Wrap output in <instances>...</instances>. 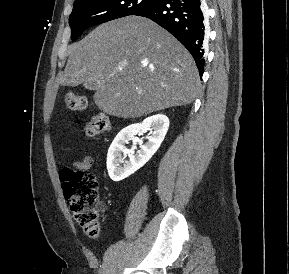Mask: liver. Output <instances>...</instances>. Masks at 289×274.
I'll return each mask as SVG.
<instances>
[{"instance_id":"1","label":"liver","mask_w":289,"mask_h":274,"mask_svg":"<svg viewBox=\"0 0 289 274\" xmlns=\"http://www.w3.org/2000/svg\"><path fill=\"white\" fill-rule=\"evenodd\" d=\"M58 81L93 83L97 107L108 115L136 118L185 106L200 78L185 47L153 21L127 16L99 25L69 47Z\"/></svg>"}]
</instances>
